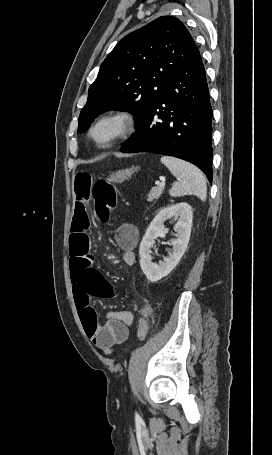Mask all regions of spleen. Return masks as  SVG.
<instances>
[{
	"mask_svg": "<svg viewBox=\"0 0 272 455\" xmlns=\"http://www.w3.org/2000/svg\"><path fill=\"white\" fill-rule=\"evenodd\" d=\"M161 162L166 165L178 180L173 183L169 190L171 196L195 195L203 202L206 200V179L197 167L186 161L169 156L161 157Z\"/></svg>",
	"mask_w": 272,
	"mask_h": 455,
	"instance_id": "1",
	"label": "spleen"
}]
</instances>
